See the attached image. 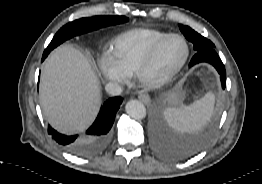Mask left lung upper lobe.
Wrapping results in <instances>:
<instances>
[{"mask_svg":"<svg viewBox=\"0 0 262 184\" xmlns=\"http://www.w3.org/2000/svg\"><path fill=\"white\" fill-rule=\"evenodd\" d=\"M179 28L184 34L185 38L193 43V48L196 52L203 49H210L215 47L210 40L198 34L192 28L182 24L179 25Z\"/></svg>","mask_w":262,"mask_h":184,"instance_id":"5c2ea615","label":"left lung upper lobe"}]
</instances>
